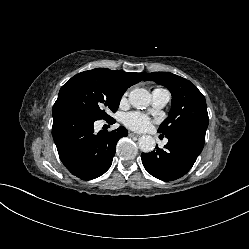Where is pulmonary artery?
<instances>
[{
    "label": "pulmonary artery",
    "instance_id": "pulmonary-artery-1",
    "mask_svg": "<svg viewBox=\"0 0 249 249\" xmlns=\"http://www.w3.org/2000/svg\"><path fill=\"white\" fill-rule=\"evenodd\" d=\"M170 100V93L166 89L156 88L152 91L153 107L161 109L165 107Z\"/></svg>",
    "mask_w": 249,
    "mask_h": 249
}]
</instances>
